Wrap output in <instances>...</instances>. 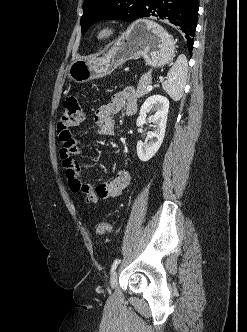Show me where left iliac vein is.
Instances as JSON below:
<instances>
[{"label":"left iliac vein","mask_w":247,"mask_h":332,"mask_svg":"<svg viewBox=\"0 0 247 332\" xmlns=\"http://www.w3.org/2000/svg\"><path fill=\"white\" fill-rule=\"evenodd\" d=\"M117 283H118L117 272H114L111 275V278H110V287H111V289H114L117 286Z\"/></svg>","instance_id":"left-iliac-vein-1"}]
</instances>
